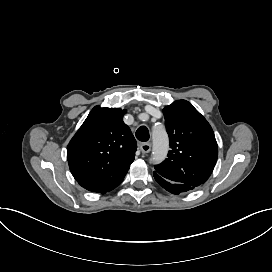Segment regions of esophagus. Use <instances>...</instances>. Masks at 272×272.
Here are the masks:
<instances>
[{"label":"esophagus","instance_id":"34e87169","mask_svg":"<svg viewBox=\"0 0 272 272\" xmlns=\"http://www.w3.org/2000/svg\"><path fill=\"white\" fill-rule=\"evenodd\" d=\"M140 149L142 153H148L151 150V145L149 143L141 144Z\"/></svg>","mask_w":272,"mask_h":272}]
</instances>
